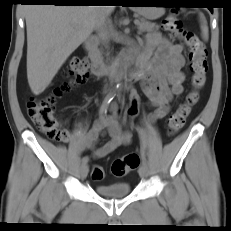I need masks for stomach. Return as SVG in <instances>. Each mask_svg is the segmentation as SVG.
I'll return each instance as SVG.
<instances>
[{
  "mask_svg": "<svg viewBox=\"0 0 231 231\" xmlns=\"http://www.w3.org/2000/svg\"><path fill=\"white\" fill-rule=\"evenodd\" d=\"M135 10L146 19H155L164 12L162 7H135Z\"/></svg>",
  "mask_w": 231,
  "mask_h": 231,
  "instance_id": "1",
  "label": "stomach"
}]
</instances>
